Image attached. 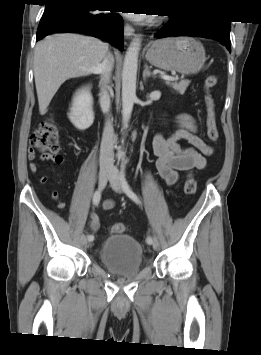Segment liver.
I'll return each mask as SVG.
<instances>
[{"mask_svg": "<svg viewBox=\"0 0 261 355\" xmlns=\"http://www.w3.org/2000/svg\"><path fill=\"white\" fill-rule=\"evenodd\" d=\"M108 44L79 34H55L37 43L34 78L39 112H47L55 93L68 79L99 73Z\"/></svg>", "mask_w": 261, "mask_h": 355, "instance_id": "1", "label": "liver"}]
</instances>
